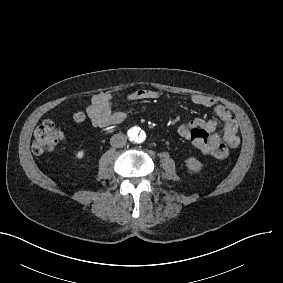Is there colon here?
<instances>
[{
	"instance_id": "5ec220e1",
	"label": "colon",
	"mask_w": 283,
	"mask_h": 283,
	"mask_svg": "<svg viewBox=\"0 0 283 283\" xmlns=\"http://www.w3.org/2000/svg\"><path fill=\"white\" fill-rule=\"evenodd\" d=\"M86 112L78 111L74 114L76 122H83L86 119ZM191 140L194 146L203 153H211L213 135L206 128L194 127L190 131ZM63 139V134L53 120L41 122L33 137V151L38 154L52 151L56 144Z\"/></svg>"
}]
</instances>
